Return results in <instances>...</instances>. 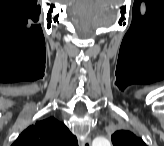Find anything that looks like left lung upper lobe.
Wrapping results in <instances>:
<instances>
[{
	"instance_id": "left-lung-upper-lobe-1",
	"label": "left lung upper lobe",
	"mask_w": 164,
	"mask_h": 146,
	"mask_svg": "<svg viewBox=\"0 0 164 146\" xmlns=\"http://www.w3.org/2000/svg\"><path fill=\"white\" fill-rule=\"evenodd\" d=\"M114 146H146L144 141L128 130H118L111 136Z\"/></svg>"
}]
</instances>
